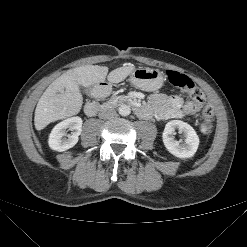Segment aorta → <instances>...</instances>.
I'll return each mask as SVG.
<instances>
[{
    "instance_id": "aorta-1",
    "label": "aorta",
    "mask_w": 247,
    "mask_h": 247,
    "mask_svg": "<svg viewBox=\"0 0 247 247\" xmlns=\"http://www.w3.org/2000/svg\"><path fill=\"white\" fill-rule=\"evenodd\" d=\"M118 112L121 116H128L131 113L130 106L123 104L118 108Z\"/></svg>"
}]
</instances>
